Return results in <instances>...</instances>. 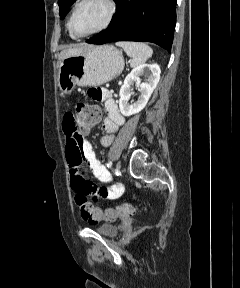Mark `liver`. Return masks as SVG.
<instances>
[{
    "instance_id": "1",
    "label": "liver",
    "mask_w": 240,
    "mask_h": 288,
    "mask_svg": "<svg viewBox=\"0 0 240 288\" xmlns=\"http://www.w3.org/2000/svg\"><path fill=\"white\" fill-rule=\"evenodd\" d=\"M88 46L89 45H87V44H80V45H77L76 47L65 49V50L61 51L60 59L63 60L67 57L76 55V54L80 53L81 51H83Z\"/></svg>"
}]
</instances>
